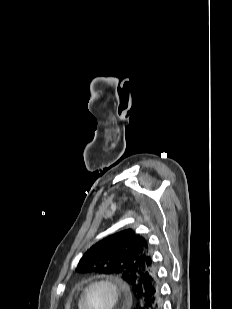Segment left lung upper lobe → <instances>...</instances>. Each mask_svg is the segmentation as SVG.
<instances>
[{"mask_svg": "<svg viewBox=\"0 0 232 309\" xmlns=\"http://www.w3.org/2000/svg\"><path fill=\"white\" fill-rule=\"evenodd\" d=\"M76 270L119 275L129 284L138 303L144 299L156 277L147 240L131 229L93 245L80 259Z\"/></svg>", "mask_w": 232, "mask_h": 309, "instance_id": "left-lung-upper-lobe-1", "label": "left lung upper lobe"}]
</instances>
